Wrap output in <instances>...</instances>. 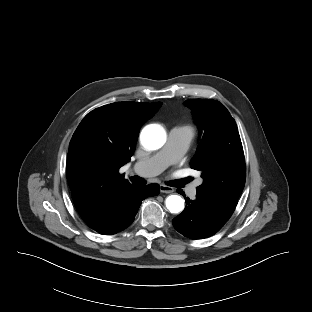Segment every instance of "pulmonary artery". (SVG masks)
Wrapping results in <instances>:
<instances>
[{"label":"pulmonary artery","mask_w":312,"mask_h":312,"mask_svg":"<svg viewBox=\"0 0 312 312\" xmlns=\"http://www.w3.org/2000/svg\"><path fill=\"white\" fill-rule=\"evenodd\" d=\"M192 134L183 127H174L170 130L164 147L150 158L138 160L134 163V170L144 177L155 176L165 170L169 165L179 161L186 153L191 142ZM195 183L189 189V196L195 197L197 186Z\"/></svg>","instance_id":"1"}]
</instances>
